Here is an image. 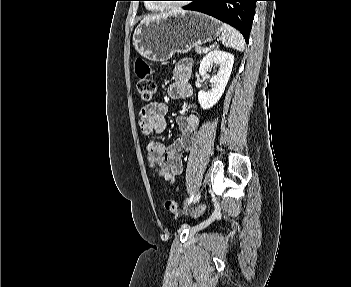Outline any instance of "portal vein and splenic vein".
I'll return each mask as SVG.
<instances>
[{
  "mask_svg": "<svg viewBox=\"0 0 351 287\" xmlns=\"http://www.w3.org/2000/svg\"><path fill=\"white\" fill-rule=\"evenodd\" d=\"M203 51H204V52H207V51H208V48H204Z\"/></svg>",
  "mask_w": 351,
  "mask_h": 287,
  "instance_id": "1",
  "label": "portal vein and splenic vein"
}]
</instances>
